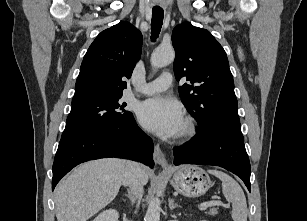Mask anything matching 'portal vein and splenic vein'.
Masks as SVG:
<instances>
[{"label": "portal vein and splenic vein", "instance_id": "1", "mask_svg": "<svg viewBox=\"0 0 307 221\" xmlns=\"http://www.w3.org/2000/svg\"><path fill=\"white\" fill-rule=\"evenodd\" d=\"M212 206H224V204L221 201H210L200 204L201 208H208Z\"/></svg>", "mask_w": 307, "mask_h": 221}]
</instances>
